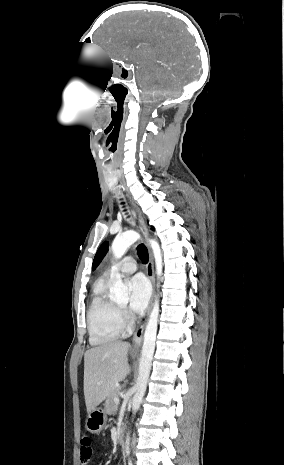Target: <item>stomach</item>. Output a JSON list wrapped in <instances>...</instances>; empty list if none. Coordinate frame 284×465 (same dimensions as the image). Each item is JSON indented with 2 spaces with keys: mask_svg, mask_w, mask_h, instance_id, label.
Segmentation results:
<instances>
[{
  "mask_svg": "<svg viewBox=\"0 0 284 465\" xmlns=\"http://www.w3.org/2000/svg\"><path fill=\"white\" fill-rule=\"evenodd\" d=\"M106 413L104 409H94L91 413H88V417L85 421V429L89 433H100L106 425Z\"/></svg>",
  "mask_w": 284,
  "mask_h": 465,
  "instance_id": "obj_1",
  "label": "stomach"
}]
</instances>
